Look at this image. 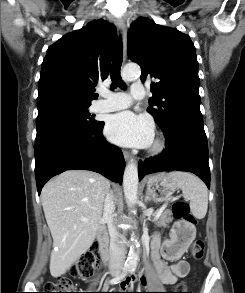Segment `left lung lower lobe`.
<instances>
[{
    "instance_id": "0a47b994",
    "label": "left lung lower lobe",
    "mask_w": 245,
    "mask_h": 293,
    "mask_svg": "<svg viewBox=\"0 0 245 293\" xmlns=\"http://www.w3.org/2000/svg\"><path fill=\"white\" fill-rule=\"evenodd\" d=\"M166 149L158 156L139 162V180L160 171H188L200 177L210 188L208 143L203 124L175 120L162 129Z\"/></svg>"
}]
</instances>
